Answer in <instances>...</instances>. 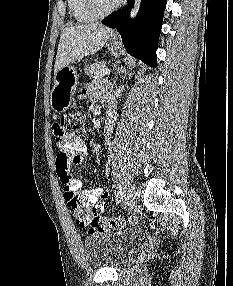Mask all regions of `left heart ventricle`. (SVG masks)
I'll use <instances>...</instances> for the list:
<instances>
[{
    "label": "left heart ventricle",
    "instance_id": "1",
    "mask_svg": "<svg viewBox=\"0 0 233 286\" xmlns=\"http://www.w3.org/2000/svg\"><path fill=\"white\" fill-rule=\"evenodd\" d=\"M117 1L116 0H99V3L102 8H109L114 5Z\"/></svg>",
    "mask_w": 233,
    "mask_h": 286
}]
</instances>
